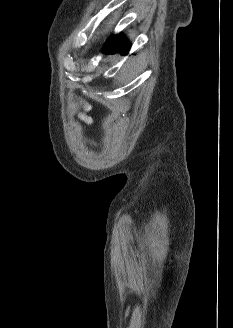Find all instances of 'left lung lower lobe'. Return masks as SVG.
I'll list each match as a JSON object with an SVG mask.
<instances>
[{"mask_svg":"<svg viewBox=\"0 0 233 328\" xmlns=\"http://www.w3.org/2000/svg\"><path fill=\"white\" fill-rule=\"evenodd\" d=\"M117 49H119L122 54H127L130 49V44L121 34L111 35L105 43L102 52L106 54H113Z\"/></svg>","mask_w":233,"mask_h":328,"instance_id":"0a47b994","label":"left lung lower lobe"}]
</instances>
